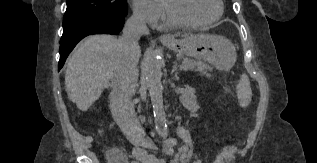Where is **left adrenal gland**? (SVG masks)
<instances>
[{"instance_id":"1","label":"left adrenal gland","mask_w":317,"mask_h":163,"mask_svg":"<svg viewBox=\"0 0 317 163\" xmlns=\"http://www.w3.org/2000/svg\"><path fill=\"white\" fill-rule=\"evenodd\" d=\"M173 73H175L176 75L178 74V68H177L176 61L173 62V68H172L171 74H173Z\"/></svg>"}]
</instances>
